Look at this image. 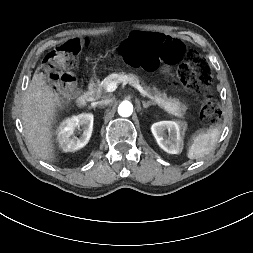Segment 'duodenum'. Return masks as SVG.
<instances>
[{
    "label": "duodenum",
    "mask_w": 253,
    "mask_h": 253,
    "mask_svg": "<svg viewBox=\"0 0 253 253\" xmlns=\"http://www.w3.org/2000/svg\"><path fill=\"white\" fill-rule=\"evenodd\" d=\"M99 82L96 79L90 81L87 91L77 98V104L80 107L86 106L88 103L93 102L98 97Z\"/></svg>",
    "instance_id": "1"
}]
</instances>
